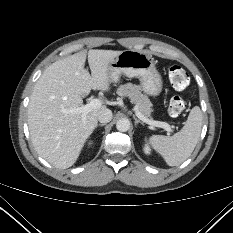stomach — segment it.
Instances as JSON below:
<instances>
[{
	"instance_id": "1",
	"label": "stomach",
	"mask_w": 233,
	"mask_h": 233,
	"mask_svg": "<svg viewBox=\"0 0 233 233\" xmlns=\"http://www.w3.org/2000/svg\"><path fill=\"white\" fill-rule=\"evenodd\" d=\"M129 78L139 77L142 90L151 96H157L162 90V77L155 67L151 55L135 50L122 51L109 64V77L118 82L121 75Z\"/></svg>"
}]
</instances>
